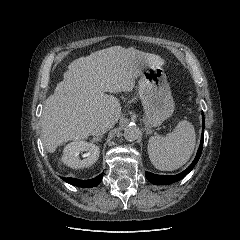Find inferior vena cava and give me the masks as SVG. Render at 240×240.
<instances>
[{"label":"inferior vena cava","mask_w":240,"mask_h":240,"mask_svg":"<svg viewBox=\"0 0 240 240\" xmlns=\"http://www.w3.org/2000/svg\"><path fill=\"white\" fill-rule=\"evenodd\" d=\"M110 128V125L107 121H101L97 124V126L93 129L92 135L99 136L107 132Z\"/></svg>","instance_id":"obj_1"}]
</instances>
